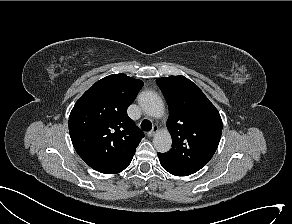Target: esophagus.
<instances>
[{
    "mask_svg": "<svg viewBox=\"0 0 292 224\" xmlns=\"http://www.w3.org/2000/svg\"><path fill=\"white\" fill-rule=\"evenodd\" d=\"M158 132V126H153V129L147 133L149 137L154 136Z\"/></svg>",
    "mask_w": 292,
    "mask_h": 224,
    "instance_id": "34e87169",
    "label": "esophagus"
}]
</instances>
